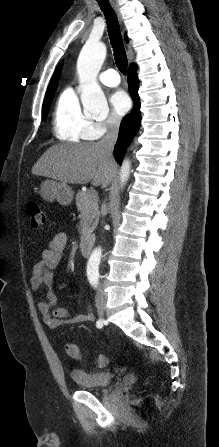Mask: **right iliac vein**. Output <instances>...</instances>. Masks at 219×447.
I'll return each mask as SVG.
<instances>
[{"instance_id": "right-iliac-vein-1", "label": "right iliac vein", "mask_w": 219, "mask_h": 447, "mask_svg": "<svg viewBox=\"0 0 219 447\" xmlns=\"http://www.w3.org/2000/svg\"><path fill=\"white\" fill-rule=\"evenodd\" d=\"M98 312H99V315H100V316H103V315H104V312H105L104 307L99 306V307H98Z\"/></svg>"}]
</instances>
